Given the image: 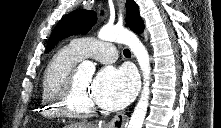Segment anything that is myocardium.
I'll use <instances>...</instances> for the list:
<instances>
[{
    "label": "myocardium",
    "mask_w": 221,
    "mask_h": 128,
    "mask_svg": "<svg viewBox=\"0 0 221 128\" xmlns=\"http://www.w3.org/2000/svg\"><path fill=\"white\" fill-rule=\"evenodd\" d=\"M76 74L73 72L57 96V103L63 115L71 118L89 117L96 113L94 105L81 106L76 102Z\"/></svg>",
    "instance_id": "obj_1"
}]
</instances>
